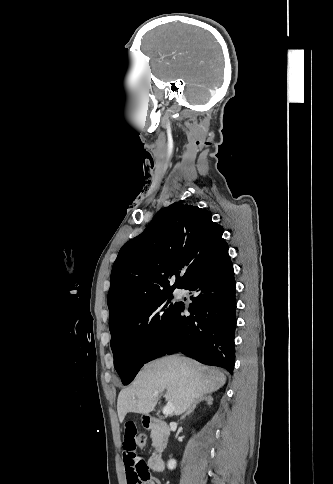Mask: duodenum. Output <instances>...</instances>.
<instances>
[{"label": "duodenum", "instance_id": "obj_1", "mask_svg": "<svg viewBox=\"0 0 333 484\" xmlns=\"http://www.w3.org/2000/svg\"><path fill=\"white\" fill-rule=\"evenodd\" d=\"M143 425L146 429L155 430L162 437L157 444V449L150 459V467L155 472H162L164 470V461L161 457V452L166 448L165 436L169 433V425L154 417H145Z\"/></svg>", "mask_w": 333, "mask_h": 484}]
</instances>
